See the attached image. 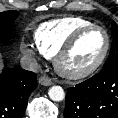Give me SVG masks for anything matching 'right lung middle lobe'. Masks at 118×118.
I'll list each match as a JSON object with an SVG mask.
<instances>
[{"instance_id": "dd1d6c3e", "label": "right lung middle lobe", "mask_w": 118, "mask_h": 118, "mask_svg": "<svg viewBox=\"0 0 118 118\" xmlns=\"http://www.w3.org/2000/svg\"><path fill=\"white\" fill-rule=\"evenodd\" d=\"M17 16V11H6L0 13V36H9L12 33L13 24Z\"/></svg>"}]
</instances>
